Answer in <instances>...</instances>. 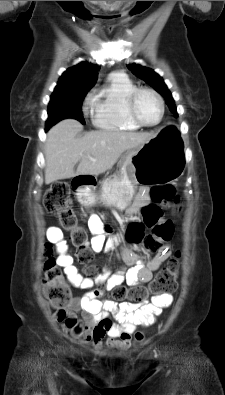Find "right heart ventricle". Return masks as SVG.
<instances>
[{
  "mask_svg": "<svg viewBox=\"0 0 225 395\" xmlns=\"http://www.w3.org/2000/svg\"><path fill=\"white\" fill-rule=\"evenodd\" d=\"M136 85L123 73L110 74L92 99L94 124L113 131H134L140 128L128 116L126 101Z\"/></svg>",
  "mask_w": 225,
  "mask_h": 395,
  "instance_id": "obj_1",
  "label": "right heart ventricle"
}]
</instances>
